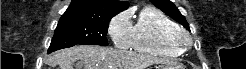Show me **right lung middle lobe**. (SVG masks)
I'll list each match as a JSON object with an SVG mask.
<instances>
[{"instance_id":"right-lung-middle-lobe-1","label":"right lung middle lobe","mask_w":246,"mask_h":69,"mask_svg":"<svg viewBox=\"0 0 246 69\" xmlns=\"http://www.w3.org/2000/svg\"><path fill=\"white\" fill-rule=\"evenodd\" d=\"M110 20L66 19L58 22L48 53L62 48L81 45L107 46Z\"/></svg>"}]
</instances>
